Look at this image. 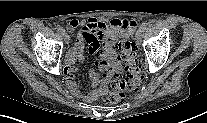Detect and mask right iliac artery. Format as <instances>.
<instances>
[{
	"instance_id": "1",
	"label": "right iliac artery",
	"mask_w": 207,
	"mask_h": 123,
	"mask_svg": "<svg viewBox=\"0 0 207 123\" xmlns=\"http://www.w3.org/2000/svg\"><path fill=\"white\" fill-rule=\"evenodd\" d=\"M58 31H59V33H61V34H65V30H64L62 27H59V28H58Z\"/></svg>"
}]
</instances>
